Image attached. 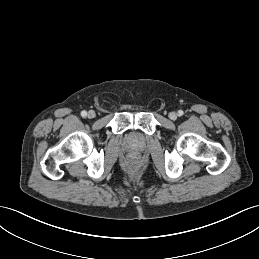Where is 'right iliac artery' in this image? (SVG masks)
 Instances as JSON below:
<instances>
[{
	"mask_svg": "<svg viewBox=\"0 0 259 259\" xmlns=\"http://www.w3.org/2000/svg\"><path fill=\"white\" fill-rule=\"evenodd\" d=\"M81 116H82V117H86V116H87V112H86L85 110H83V111L81 112Z\"/></svg>",
	"mask_w": 259,
	"mask_h": 259,
	"instance_id": "right-iliac-artery-1",
	"label": "right iliac artery"
}]
</instances>
